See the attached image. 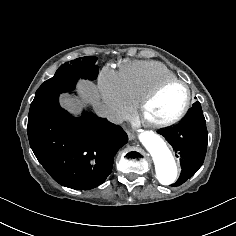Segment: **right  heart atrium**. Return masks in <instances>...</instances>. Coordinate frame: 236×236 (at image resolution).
<instances>
[{"mask_svg":"<svg viewBox=\"0 0 236 236\" xmlns=\"http://www.w3.org/2000/svg\"><path fill=\"white\" fill-rule=\"evenodd\" d=\"M97 91L102 117L109 122H118L127 117L134 103L128 96L122 75L104 67L97 77Z\"/></svg>","mask_w":236,"mask_h":236,"instance_id":"1","label":"right heart atrium"}]
</instances>
